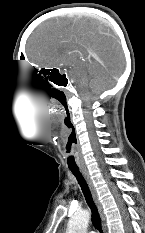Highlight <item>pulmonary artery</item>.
Returning a JSON list of instances; mask_svg holds the SVG:
<instances>
[{
    "instance_id": "obj_1",
    "label": "pulmonary artery",
    "mask_w": 145,
    "mask_h": 233,
    "mask_svg": "<svg viewBox=\"0 0 145 233\" xmlns=\"http://www.w3.org/2000/svg\"><path fill=\"white\" fill-rule=\"evenodd\" d=\"M90 233H95L94 231H91Z\"/></svg>"
}]
</instances>
